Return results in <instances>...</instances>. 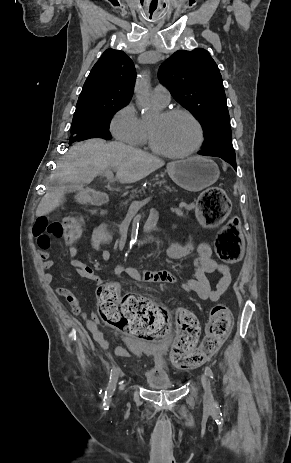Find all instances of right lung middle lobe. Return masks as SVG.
<instances>
[{"instance_id": "obj_1", "label": "right lung middle lobe", "mask_w": 291, "mask_h": 463, "mask_svg": "<svg viewBox=\"0 0 291 463\" xmlns=\"http://www.w3.org/2000/svg\"><path fill=\"white\" fill-rule=\"evenodd\" d=\"M127 102L107 101L98 109L74 115L69 144L91 138H112L109 125L113 115Z\"/></svg>"}]
</instances>
